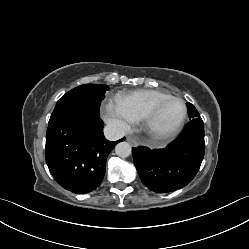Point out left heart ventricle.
Returning a JSON list of instances; mask_svg holds the SVG:
<instances>
[{"mask_svg":"<svg viewBox=\"0 0 249 249\" xmlns=\"http://www.w3.org/2000/svg\"><path fill=\"white\" fill-rule=\"evenodd\" d=\"M182 110V104L178 101L167 103L153 123L154 131L164 133L174 128L182 114Z\"/></svg>","mask_w":249,"mask_h":249,"instance_id":"obj_1","label":"left heart ventricle"}]
</instances>
